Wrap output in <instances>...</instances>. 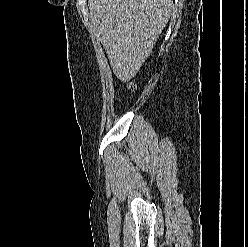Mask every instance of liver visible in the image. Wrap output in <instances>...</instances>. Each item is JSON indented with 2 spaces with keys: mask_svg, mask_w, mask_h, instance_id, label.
<instances>
[{
  "mask_svg": "<svg viewBox=\"0 0 248 247\" xmlns=\"http://www.w3.org/2000/svg\"><path fill=\"white\" fill-rule=\"evenodd\" d=\"M94 31L115 76L130 81L168 23L172 0H89Z\"/></svg>",
  "mask_w": 248,
  "mask_h": 247,
  "instance_id": "6515ba94",
  "label": "liver"
}]
</instances>
